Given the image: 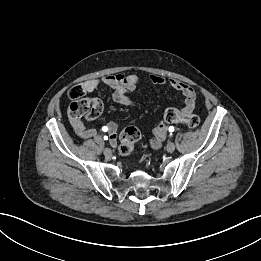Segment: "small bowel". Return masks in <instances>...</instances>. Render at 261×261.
<instances>
[{
	"instance_id": "obj_1",
	"label": "small bowel",
	"mask_w": 261,
	"mask_h": 261,
	"mask_svg": "<svg viewBox=\"0 0 261 261\" xmlns=\"http://www.w3.org/2000/svg\"><path fill=\"white\" fill-rule=\"evenodd\" d=\"M150 79L154 84L169 85L183 94L185 99L184 106L181 109L182 113L188 114L194 110L197 96L195 90L190 85L173 78L165 79L159 75H151ZM139 81V77L134 74H115L106 76L102 79L87 80L83 82L80 86L86 94L93 92L101 84H103L106 87L113 90V98L117 103L133 108L135 106L134 102L130 99L128 94L136 88V86L139 84ZM69 120L74 132L78 137L82 139H88L94 137L97 134L95 128L87 127L82 122L81 117L73 115L71 111H69ZM106 127L109 134L110 142L112 145H115L117 143V124L114 122H108ZM166 134V125L160 124L157 127H155L153 130V137L150 140L151 146L155 149L159 148L162 142L164 141Z\"/></svg>"
}]
</instances>
